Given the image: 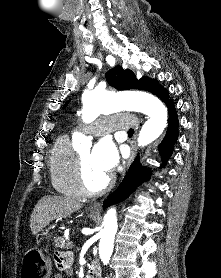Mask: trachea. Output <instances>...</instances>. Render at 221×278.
I'll use <instances>...</instances> for the list:
<instances>
[{
  "label": "trachea",
  "instance_id": "trachea-1",
  "mask_svg": "<svg viewBox=\"0 0 221 278\" xmlns=\"http://www.w3.org/2000/svg\"><path fill=\"white\" fill-rule=\"evenodd\" d=\"M134 133V129H129L128 134H133Z\"/></svg>",
  "mask_w": 221,
  "mask_h": 278
}]
</instances>
